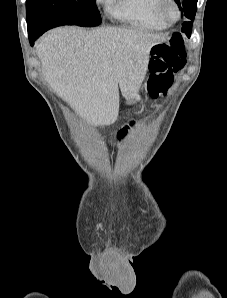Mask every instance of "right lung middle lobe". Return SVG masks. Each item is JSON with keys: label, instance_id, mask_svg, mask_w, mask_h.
Here are the masks:
<instances>
[{"label": "right lung middle lobe", "instance_id": "1", "mask_svg": "<svg viewBox=\"0 0 227 298\" xmlns=\"http://www.w3.org/2000/svg\"><path fill=\"white\" fill-rule=\"evenodd\" d=\"M28 34L61 25L98 26L95 0H26Z\"/></svg>", "mask_w": 227, "mask_h": 298}]
</instances>
